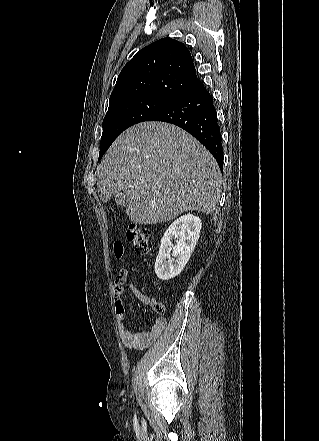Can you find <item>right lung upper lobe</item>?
<instances>
[{
  "label": "right lung upper lobe",
  "instance_id": "obj_1",
  "mask_svg": "<svg viewBox=\"0 0 319 441\" xmlns=\"http://www.w3.org/2000/svg\"><path fill=\"white\" fill-rule=\"evenodd\" d=\"M196 80L188 48L171 38L160 39L141 49L124 66L111 93L109 107L144 96L172 101Z\"/></svg>",
  "mask_w": 319,
  "mask_h": 441
}]
</instances>
